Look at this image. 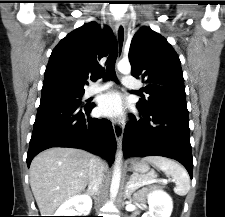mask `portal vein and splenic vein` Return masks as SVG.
Wrapping results in <instances>:
<instances>
[{"label": "portal vein and splenic vein", "mask_w": 225, "mask_h": 217, "mask_svg": "<svg viewBox=\"0 0 225 217\" xmlns=\"http://www.w3.org/2000/svg\"><path fill=\"white\" fill-rule=\"evenodd\" d=\"M167 181H169V180L157 179L156 175L154 173H152V178L150 180H148L147 182L143 183V184H149V183H154V182H164V183H166ZM134 186H135L134 184H129L128 188H132Z\"/></svg>", "instance_id": "obj_1"}]
</instances>
